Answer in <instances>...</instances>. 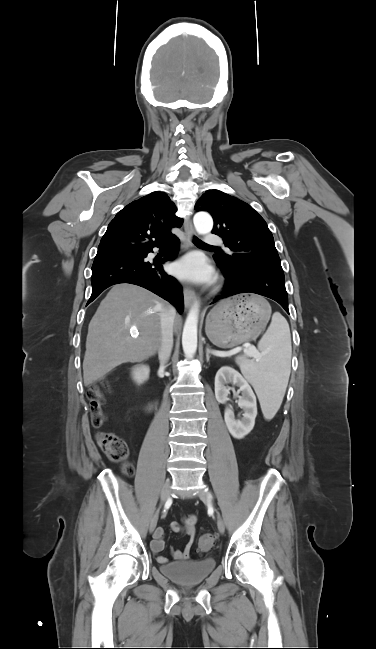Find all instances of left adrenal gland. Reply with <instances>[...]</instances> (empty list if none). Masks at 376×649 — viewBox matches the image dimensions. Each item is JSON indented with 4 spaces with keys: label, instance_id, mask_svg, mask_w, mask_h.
Listing matches in <instances>:
<instances>
[{
    "label": "left adrenal gland",
    "instance_id": "1",
    "mask_svg": "<svg viewBox=\"0 0 376 649\" xmlns=\"http://www.w3.org/2000/svg\"><path fill=\"white\" fill-rule=\"evenodd\" d=\"M209 359H210V352H209V349H207L206 350V360H207V362H209Z\"/></svg>",
    "mask_w": 376,
    "mask_h": 649
}]
</instances>
